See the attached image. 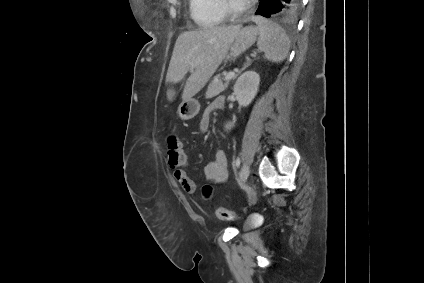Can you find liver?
<instances>
[{
    "mask_svg": "<svg viewBox=\"0 0 424 283\" xmlns=\"http://www.w3.org/2000/svg\"><path fill=\"white\" fill-rule=\"evenodd\" d=\"M241 28V25L214 26L180 34L174 46L166 82L178 83L190 71L182 99L193 97L222 63ZM174 94L173 90H168V100H172Z\"/></svg>",
    "mask_w": 424,
    "mask_h": 283,
    "instance_id": "1",
    "label": "liver"
}]
</instances>
